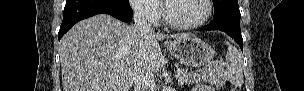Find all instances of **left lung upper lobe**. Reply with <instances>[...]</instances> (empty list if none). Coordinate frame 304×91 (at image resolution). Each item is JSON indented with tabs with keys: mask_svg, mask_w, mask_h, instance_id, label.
Returning <instances> with one entry per match:
<instances>
[{
	"mask_svg": "<svg viewBox=\"0 0 304 91\" xmlns=\"http://www.w3.org/2000/svg\"><path fill=\"white\" fill-rule=\"evenodd\" d=\"M214 5V17L222 14L231 7L238 6V0H212Z\"/></svg>",
	"mask_w": 304,
	"mask_h": 91,
	"instance_id": "left-lung-upper-lobe-1",
	"label": "left lung upper lobe"
}]
</instances>
